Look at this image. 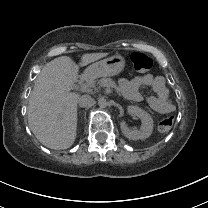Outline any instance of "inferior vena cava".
I'll list each match as a JSON object with an SVG mask.
<instances>
[{"instance_id":"obj_1","label":"inferior vena cava","mask_w":208,"mask_h":208,"mask_svg":"<svg viewBox=\"0 0 208 208\" xmlns=\"http://www.w3.org/2000/svg\"><path fill=\"white\" fill-rule=\"evenodd\" d=\"M94 100L91 98L90 95H82L79 100H78V103H79V106L80 107H88V106H91L93 104Z\"/></svg>"}]
</instances>
